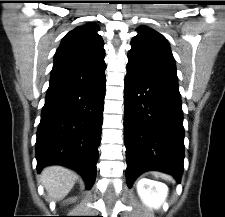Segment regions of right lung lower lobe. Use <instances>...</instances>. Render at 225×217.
Returning a JSON list of instances; mask_svg holds the SVG:
<instances>
[{
    "label": "right lung lower lobe",
    "instance_id": "1",
    "mask_svg": "<svg viewBox=\"0 0 225 217\" xmlns=\"http://www.w3.org/2000/svg\"><path fill=\"white\" fill-rule=\"evenodd\" d=\"M105 77L98 82L47 92L36 140L37 170L63 165L95 180L101 139Z\"/></svg>",
    "mask_w": 225,
    "mask_h": 217
}]
</instances>
